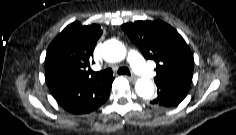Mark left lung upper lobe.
Returning <instances> with one entry per match:
<instances>
[{
    "mask_svg": "<svg viewBox=\"0 0 236 135\" xmlns=\"http://www.w3.org/2000/svg\"><path fill=\"white\" fill-rule=\"evenodd\" d=\"M122 29L146 59L156 62L155 82L189 79L193 76L194 59L182 36L160 20L123 24Z\"/></svg>",
    "mask_w": 236,
    "mask_h": 135,
    "instance_id": "5c2ea615",
    "label": "left lung upper lobe"
}]
</instances>
